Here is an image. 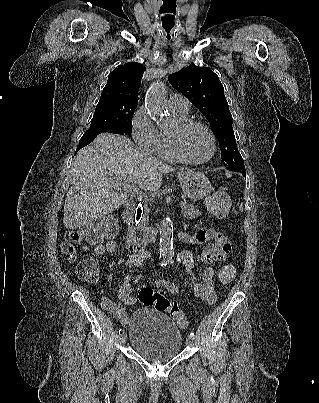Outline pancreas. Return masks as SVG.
I'll list each match as a JSON object with an SVG mask.
<instances>
[{
  "mask_svg": "<svg viewBox=\"0 0 319 403\" xmlns=\"http://www.w3.org/2000/svg\"><path fill=\"white\" fill-rule=\"evenodd\" d=\"M148 213H149V209L146 204L144 206L143 216L141 217V220L138 224V227L143 231L145 229H147V226H148V222H149ZM182 215L185 218L194 219L195 217H199L201 215V212L198 209H196L193 205L186 204V205L182 206Z\"/></svg>",
  "mask_w": 319,
  "mask_h": 403,
  "instance_id": "1",
  "label": "pancreas"
}]
</instances>
